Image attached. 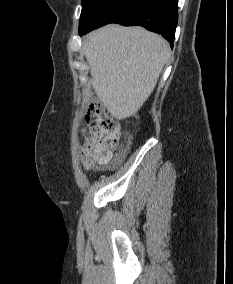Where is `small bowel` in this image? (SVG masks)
<instances>
[{
    "instance_id": "small-bowel-1",
    "label": "small bowel",
    "mask_w": 233,
    "mask_h": 284,
    "mask_svg": "<svg viewBox=\"0 0 233 284\" xmlns=\"http://www.w3.org/2000/svg\"><path fill=\"white\" fill-rule=\"evenodd\" d=\"M83 164H84L85 167H89L90 166V164L87 163L86 161H83Z\"/></svg>"
}]
</instances>
